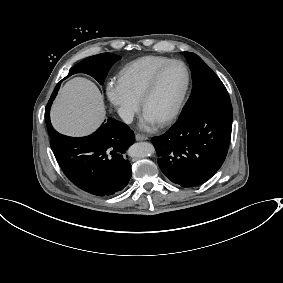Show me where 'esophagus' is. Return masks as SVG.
I'll list each match as a JSON object with an SVG mask.
<instances>
[{
  "mask_svg": "<svg viewBox=\"0 0 283 283\" xmlns=\"http://www.w3.org/2000/svg\"><path fill=\"white\" fill-rule=\"evenodd\" d=\"M135 138H136L137 141H144V140L148 139V137H146L142 134H136Z\"/></svg>",
  "mask_w": 283,
  "mask_h": 283,
  "instance_id": "obj_1",
  "label": "esophagus"
}]
</instances>
